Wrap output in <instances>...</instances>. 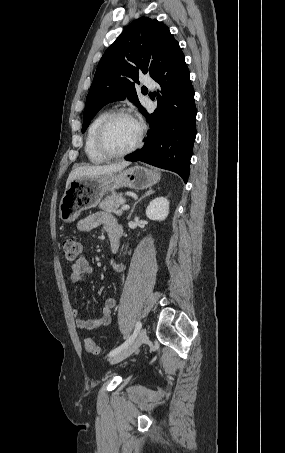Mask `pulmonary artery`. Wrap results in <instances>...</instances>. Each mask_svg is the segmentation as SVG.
<instances>
[{"label":"pulmonary artery","instance_id":"1","mask_svg":"<svg viewBox=\"0 0 285 453\" xmlns=\"http://www.w3.org/2000/svg\"><path fill=\"white\" fill-rule=\"evenodd\" d=\"M143 82H144V84H145L146 86H148V87L153 88V87L155 86L154 81L151 80L150 78H145V79L143 80Z\"/></svg>","mask_w":285,"mask_h":453}]
</instances>
